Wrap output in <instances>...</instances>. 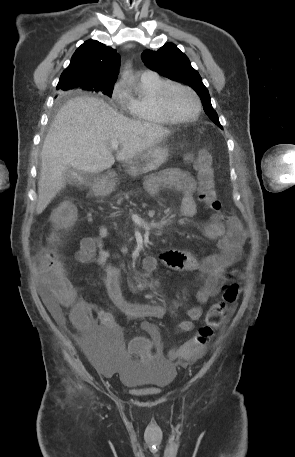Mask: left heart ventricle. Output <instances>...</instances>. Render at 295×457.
Segmentation results:
<instances>
[{
	"label": "left heart ventricle",
	"instance_id": "left-heart-ventricle-1",
	"mask_svg": "<svg viewBox=\"0 0 295 457\" xmlns=\"http://www.w3.org/2000/svg\"><path fill=\"white\" fill-rule=\"evenodd\" d=\"M167 106L171 113L177 117H189L196 109L192 95L181 88H172L167 94Z\"/></svg>",
	"mask_w": 295,
	"mask_h": 457
}]
</instances>
